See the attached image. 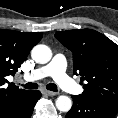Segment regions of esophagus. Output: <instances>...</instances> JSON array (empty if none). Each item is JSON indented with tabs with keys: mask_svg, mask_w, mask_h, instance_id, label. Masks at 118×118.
<instances>
[{
	"mask_svg": "<svg viewBox=\"0 0 118 118\" xmlns=\"http://www.w3.org/2000/svg\"><path fill=\"white\" fill-rule=\"evenodd\" d=\"M43 93L46 94L47 96H55V95H57L56 92H52V91H48V90H44Z\"/></svg>",
	"mask_w": 118,
	"mask_h": 118,
	"instance_id": "1",
	"label": "esophagus"
}]
</instances>
